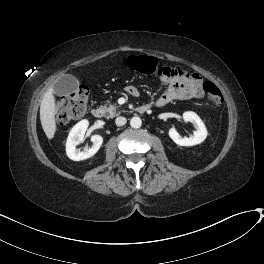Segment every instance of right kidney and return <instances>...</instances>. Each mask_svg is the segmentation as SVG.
<instances>
[{"label":"right kidney","mask_w":264,"mask_h":264,"mask_svg":"<svg viewBox=\"0 0 264 264\" xmlns=\"http://www.w3.org/2000/svg\"><path fill=\"white\" fill-rule=\"evenodd\" d=\"M89 122L82 120L78 122L70 131L66 142V153L67 156L74 161L85 160L94 156L99 150L103 143V138L100 135H93L91 141L93 145L86 147L83 151L76 148V146L84 141V135L88 128Z\"/></svg>","instance_id":"1"}]
</instances>
